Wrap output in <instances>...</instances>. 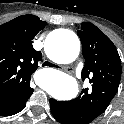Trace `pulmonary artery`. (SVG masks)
<instances>
[{"label":"pulmonary artery","instance_id":"e3ab8cb5","mask_svg":"<svg viewBox=\"0 0 124 124\" xmlns=\"http://www.w3.org/2000/svg\"><path fill=\"white\" fill-rule=\"evenodd\" d=\"M81 73H82L81 68H78V69L76 70V74H77L78 78H82Z\"/></svg>","mask_w":124,"mask_h":124}]
</instances>
